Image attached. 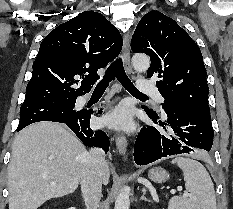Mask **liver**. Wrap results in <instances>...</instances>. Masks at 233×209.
<instances>
[{"instance_id":"1","label":"liver","mask_w":233,"mask_h":209,"mask_svg":"<svg viewBox=\"0 0 233 209\" xmlns=\"http://www.w3.org/2000/svg\"><path fill=\"white\" fill-rule=\"evenodd\" d=\"M87 153L72 132L60 124L39 122L23 129L14 139L8 166L9 209H37L52 198L73 193ZM109 177L106 163L105 185Z\"/></svg>"}]
</instances>
